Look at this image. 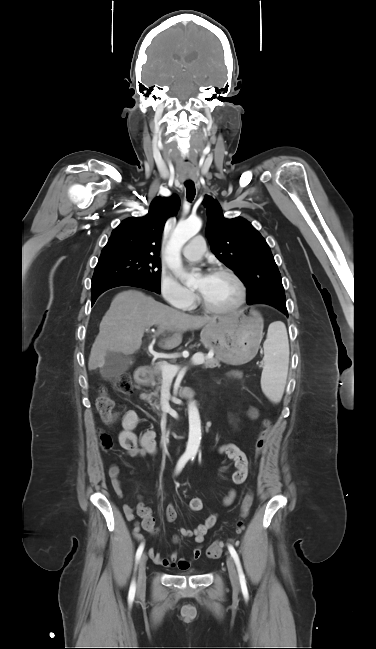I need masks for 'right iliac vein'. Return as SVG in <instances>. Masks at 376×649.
<instances>
[{
	"label": "right iliac vein",
	"mask_w": 376,
	"mask_h": 649,
	"mask_svg": "<svg viewBox=\"0 0 376 649\" xmlns=\"http://www.w3.org/2000/svg\"><path fill=\"white\" fill-rule=\"evenodd\" d=\"M146 586V556L145 554L139 560L137 591L142 593Z\"/></svg>",
	"instance_id": "63e3f726"
}]
</instances>
